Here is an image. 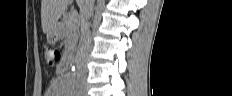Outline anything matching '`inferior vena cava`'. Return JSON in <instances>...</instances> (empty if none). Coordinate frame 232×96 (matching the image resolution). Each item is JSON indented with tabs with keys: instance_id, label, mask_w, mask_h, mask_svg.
I'll return each mask as SVG.
<instances>
[{
	"instance_id": "602c4592",
	"label": "inferior vena cava",
	"mask_w": 232,
	"mask_h": 96,
	"mask_svg": "<svg viewBox=\"0 0 232 96\" xmlns=\"http://www.w3.org/2000/svg\"><path fill=\"white\" fill-rule=\"evenodd\" d=\"M94 0H82L80 5L81 34L78 55L85 60L91 49V32L89 19L93 15Z\"/></svg>"
}]
</instances>
